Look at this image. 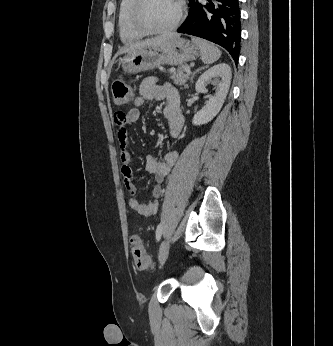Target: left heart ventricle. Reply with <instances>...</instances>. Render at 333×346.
Here are the masks:
<instances>
[{"instance_id": "b2bd125f", "label": "left heart ventricle", "mask_w": 333, "mask_h": 346, "mask_svg": "<svg viewBox=\"0 0 333 346\" xmlns=\"http://www.w3.org/2000/svg\"><path fill=\"white\" fill-rule=\"evenodd\" d=\"M177 13V0H147L143 16L153 28L168 26Z\"/></svg>"}]
</instances>
